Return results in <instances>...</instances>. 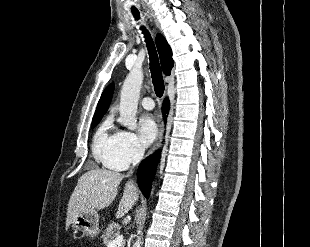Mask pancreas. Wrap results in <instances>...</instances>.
<instances>
[{"mask_svg":"<svg viewBox=\"0 0 310 247\" xmlns=\"http://www.w3.org/2000/svg\"><path fill=\"white\" fill-rule=\"evenodd\" d=\"M120 226L115 222H112L108 225L105 232L102 234L101 238L103 240V244L107 245L111 239L119 234ZM123 247V246H122Z\"/></svg>","mask_w":310,"mask_h":247,"instance_id":"cf45deb5","label":"pancreas"}]
</instances>
